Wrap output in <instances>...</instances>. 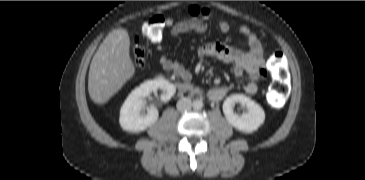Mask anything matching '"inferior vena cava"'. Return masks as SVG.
I'll return each instance as SVG.
<instances>
[{
  "label": "inferior vena cava",
  "mask_w": 365,
  "mask_h": 180,
  "mask_svg": "<svg viewBox=\"0 0 365 180\" xmlns=\"http://www.w3.org/2000/svg\"><path fill=\"white\" fill-rule=\"evenodd\" d=\"M177 110L178 111H187L189 109H191L192 107V101L190 98H181L180 100H178L177 102Z\"/></svg>",
  "instance_id": "obj_1"
}]
</instances>
